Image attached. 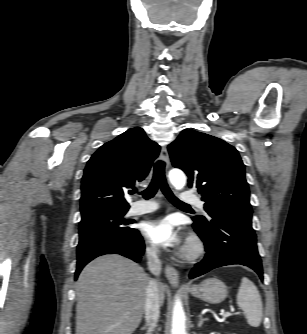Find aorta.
<instances>
[{
	"label": "aorta",
	"mask_w": 307,
	"mask_h": 334,
	"mask_svg": "<svg viewBox=\"0 0 307 334\" xmlns=\"http://www.w3.org/2000/svg\"><path fill=\"white\" fill-rule=\"evenodd\" d=\"M169 180L172 185L181 190L186 184V176L179 169L169 172ZM171 334H186V316L180 298H176L172 311Z\"/></svg>",
	"instance_id": "762f6f07"
}]
</instances>
